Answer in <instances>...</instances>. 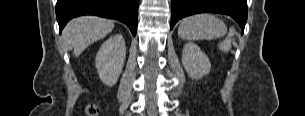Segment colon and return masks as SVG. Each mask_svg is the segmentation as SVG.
<instances>
[{"label":"colon","mask_w":305,"mask_h":116,"mask_svg":"<svg viewBox=\"0 0 305 116\" xmlns=\"http://www.w3.org/2000/svg\"><path fill=\"white\" fill-rule=\"evenodd\" d=\"M100 112V107L97 104H89L86 107V113L89 116H97Z\"/></svg>","instance_id":"5ec220e1"}]
</instances>
